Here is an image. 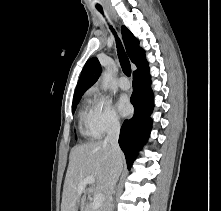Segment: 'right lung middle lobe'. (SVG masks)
<instances>
[{
	"label": "right lung middle lobe",
	"instance_id": "right-lung-middle-lobe-1",
	"mask_svg": "<svg viewBox=\"0 0 221 211\" xmlns=\"http://www.w3.org/2000/svg\"><path fill=\"white\" fill-rule=\"evenodd\" d=\"M80 98H81V96H78V97H74V98H73L72 113L75 112V109H76V107H77V104H78Z\"/></svg>",
	"mask_w": 221,
	"mask_h": 211
}]
</instances>
